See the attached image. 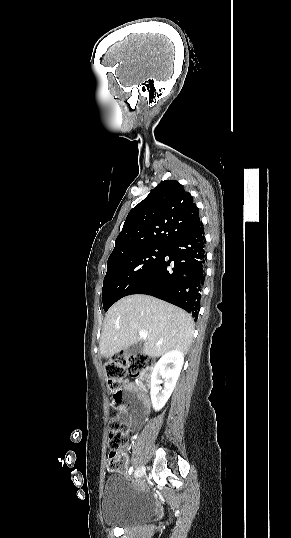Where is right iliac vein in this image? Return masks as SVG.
I'll list each match as a JSON object with an SVG mask.
<instances>
[{"label": "right iliac vein", "mask_w": 291, "mask_h": 538, "mask_svg": "<svg viewBox=\"0 0 291 538\" xmlns=\"http://www.w3.org/2000/svg\"><path fill=\"white\" fill-rule=\"evenodd\" d=\"M145 472V467L144 466H140L137 468L136 472H135V475L137 477H141Z\"/></svg>", "instance_id": "63e3f726"}]
</instances>
